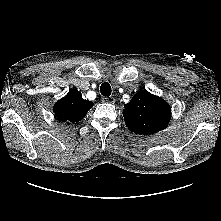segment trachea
<instances>
[{
    "label": "trachea",
    "mask_w": 221,
    "mask_h": 221,
    "mask_svg": "<svg viewBox=\"0 0 221 221\" xmlns=\"http://www.w3.org/2000/svg\"><path fill=\"white\" fill-rule=\"evenodd\" d=\"M100 92L103 96L109 97L111 95V86L108 82H104L100 86Z\"/></svg>",
    "instance_id": "trachea-1"
}]
</instances>
